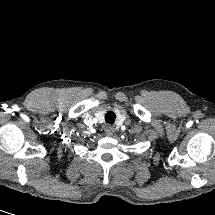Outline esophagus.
Returning <instances> with one entry per match:
<instances>
[{
  "label": "esophagus",
  "instance_id": "esophagus-1",
  "mask_svg": "<svg viewBox=\"0 0 215 215\" xmlns=\"http://www.w3.org/2000/svg\"><path fill=\"white\" fill-rule=\"evenodd\" d=\"M114 127H112V126H107L106 128H105V133H106V135H108V136H112L113 135V133H114Z\"/></svg>",
  "mask_w": 215,
  "mask_h": 215
}]
</instances>
